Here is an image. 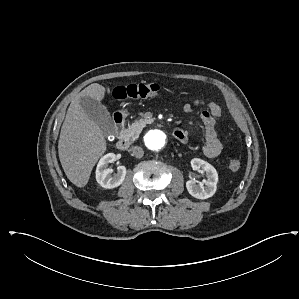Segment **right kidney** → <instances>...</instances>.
<instances>
[{
  "label": "right kidney",
  "mask_w": 299,
  "mask_h": 299,
  "mask_svg": "<svg viewBox=\"0 0 299 299\" xmlns=\"http://www.w3.org/2000/svg\"><path fill=\"white\" fill-rule=\"evenodd\" d=\"M116 160L114 153L104 155L98 162L96 168V180L105 189H112L121 185L126 176V167L119 166L117 173L112 176L113 169L108 167L109 163Z\"/></svg>",
  "instance_id": "ca27d5eb"
}]
</instances>
